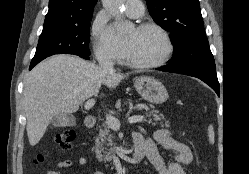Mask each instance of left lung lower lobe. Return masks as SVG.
<instances>
[{
    "mask_svg": "<svg viewBox=\"0 0 249 174\" xmlns=\"http://www.w3.org/2000/svg\"><path fill=\"white\" fill-rule=\"evenodd\" d=\"M159 70L165 72L179 73L199 78L200 80L208 84L217 93L218 96L220 95V86L215 71L216 67L200 66V67H192V68L178 70L171 68L170 66H166Z\"/></svg>",
    "mask_w": 249,
    "mask_h": 174,
    "instance_id": "obj_1",
    "label": "left lung lower lobe"
}]
</instances>
